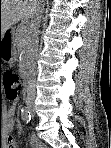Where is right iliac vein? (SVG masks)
<instances>
[{"label": "right iliac vein", "mask_w": 111, "mask_h": 148, "mask_svg": "<svg viewBox=\"0 0 111 148\" xmlns=\"http://www.w3.org/2000/svg\"><path fill=\"white\" fill-rule=\"evenodd\" d=\"M29 111L31 112V113H34V107L33 106H29Z\"/></svg>", "instance_id": "1"}]
</instances>
